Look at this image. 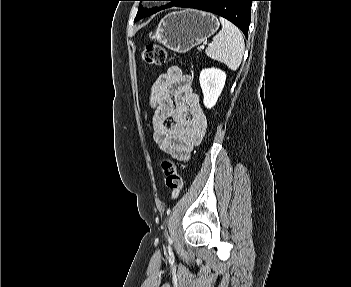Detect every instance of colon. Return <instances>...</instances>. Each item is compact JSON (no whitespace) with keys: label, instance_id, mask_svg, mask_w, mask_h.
Returning <instances> with one entry per match:
<instances>
[{"label":"colon","instance_id":"obj_1","mask_svg":"<svg viewBox=\"0 0 351 287\" xmlns=\"http://www.w3.org/2000/svg\"><path fill=\"white\" fill-rule=\"evenodd\" d=\"M142 61L147 66H162L168 62L166 50L157 44L147 45L141 53ZM162 170L165 183L170 193V198L175 200L179 197L182 189V178L176 165L169 159L162 162Z\"/></svg>","mask_w":351,"mask_h":287}]
</instances>
